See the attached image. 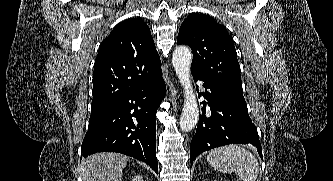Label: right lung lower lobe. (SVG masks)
<instances>
[{
  "mask_svg": "<svg viewBox=\"0 0 333 181\" xmlns=\"http://www.w3.org/2000/svg\"><path fill=\"white\" fill-rule=\"evenodd\" d=\"M165 90L161 77L92 111L81 155L86 158L96 152H119L144 161L158 173L155 117Z\"/></svg>",
  "mask_w": 333,
  "mask_h": 181,
  "instance_id": "right-lung-lower-lobe-1",
  "label": "right lung lower lobe"
}]
</instances>
